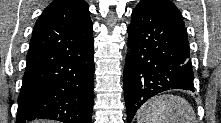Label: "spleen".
<instances>
[{"label":"spleen","mask_w":221,"mask_h":123,"mask_svg":"<svg viewBox=\"0 0 221 123\" xmlns=\"http://www.w3.org/2000/svg\"><path fill=\"white\" fill-rule=\"evenodd\" d=\"M137 123H196L191 105L174 95L154 97L144 103L136 114Z\"/></svg>","instance_id":"1"}]
</instances>
